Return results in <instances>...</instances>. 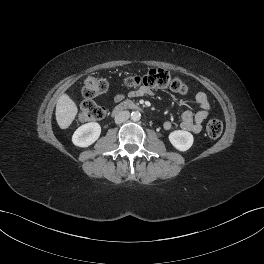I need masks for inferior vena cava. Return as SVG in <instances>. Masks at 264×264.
Wrapping results in <instances>:
<instances>
[{
  "label": "inferior vena cava",
  "instance_id": "obj_1",
  "mask_svg": "<svg viewBox=\"0 0 264 264\" xmlns=\"http://www.w3.org/2000/svg\"><path fill=\"white\" fill-rule=\"evenodd\" d=\"M130 117L129 111H121L115 116V123L120 124L128 120Z\"/></svg>",
  "mask_w": 264,
  "mask_h": 264
}]
</instances>
